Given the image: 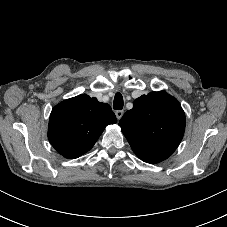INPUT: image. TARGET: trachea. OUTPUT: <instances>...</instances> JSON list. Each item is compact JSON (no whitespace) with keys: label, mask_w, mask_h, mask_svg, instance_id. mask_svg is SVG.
Instances as JSON below:
<instances>
[{"label":"trachea","mask_w":227,"mask_h":227,"mask_svg":"<svg viewBox=\"0 0 227 227\" xmlns=\"http://www.w3.org/2000/svg\"><path fill=\"white\" fill-rule=\"evenodd\" d=\"M113 108L115 110H122L123 109V96L120 93H116L114 97Z\"/></svg>","instance_id":"1"}]
</instances>
